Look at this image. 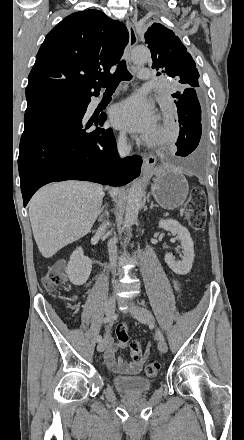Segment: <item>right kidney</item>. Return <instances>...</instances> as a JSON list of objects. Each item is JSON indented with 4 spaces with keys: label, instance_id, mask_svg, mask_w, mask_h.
<instances>
[{
    "label": "right kidney",
    "instance_id": "obj_1",
    "mask_svg": "<svg viewBox=\"0 0 244 440\" xmlns=\"http://www.w3.org/2000/svg\"><path fill=\"white\" fill-rule=\"evenodd\" d=\"M92 270V262L90 258L84 256L82 248L74 250L70 262L67 264L66 274L71 284L74 286H82L87 282Z\"/></svg>",
    "mask_w": 244,
    "mask_h": 440
}]
</instances>
